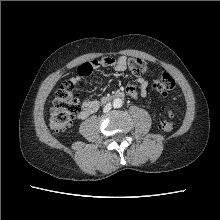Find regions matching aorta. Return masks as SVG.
<instances>
[{
  "label": "aorta",
  "mask_w": 220,
  "mask_h": 220,
  "mask_svg": "<svg viewBox=\"0 0 220 220\" xmlns=\"http://www.w3.org/2000/svg\"><path fill=\"white\" fill-rule=\"evenodd\" d=\"M123 105V101L120 98H116L113 100V107L114 108H121Z\"/></svg>",
  "instance_id": "762f6f07"
}]
</instances>
